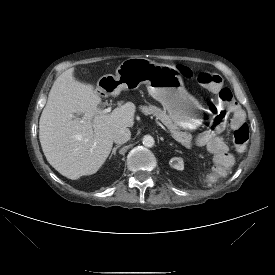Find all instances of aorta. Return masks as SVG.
I'll return each mask as SVG.
<instances>
[{"label":"aorta","mask_w":275,"mask_h":275,"mask_svg":"<svg viewBox=\"0 0 275 275\" xmlns=\"http://www.w3.org/2000/svg\"><path fill=\"white\" fill-rule=\"evenodd\" d=\"M142 142H143V145L146 147H152V146H154V143H155L154 138L150 135H145L143 137Z\"/></svg>","instance_id":"762f6f07"}]
</instances>
